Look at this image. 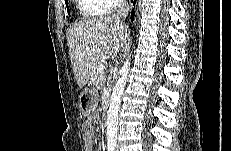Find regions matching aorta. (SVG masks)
Listing matches in <instances>:
<instances>
[{
    "instance_id": "762f6f07",
    "label": "aorta",
    "mask_w": 231,
    "mask_h": 151,
    "mask_svg": "<svg viewBox=\"0 0 231 151\" xmlns=\"http://www.w3.org/2000/svg\"><path fill=\"white\" fill-rule=\"evenodd\" d=\"M130 64V58L128 57L120 70L121 76L116 82L112 92L107 119L108 144H116L118 131V112L120 109L121 98L126 85L127 76L130 70Z\"/></svg>"
}]
</instances>
